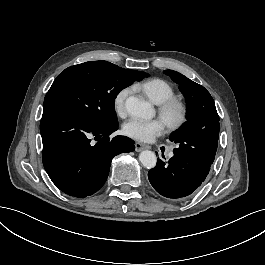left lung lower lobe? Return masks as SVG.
Listing matches in <instances>:
<instances>
[{
    "mask_svg": "<svg viewBox=\"0 0 265 265\" xmlns=\"http://www.w3.org/2000/svg\"><path fill=\"white\" fill-rule=\"evenodd\" d=\"M209 170L188 163L174 155L167 163L159 160L148 172L153 188L162 196L171 199H187L205 181Z\"/></svg>",
    "mask_w": 265,
    "mask_h": 265,
    "instance_id": "0a47b994",
    "label": "left lung lower lobe"
}]
</instances>
